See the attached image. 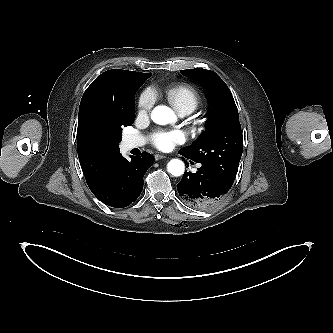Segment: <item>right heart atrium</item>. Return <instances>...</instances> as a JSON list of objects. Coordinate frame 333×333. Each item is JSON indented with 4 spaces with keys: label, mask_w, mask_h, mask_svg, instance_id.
<instances>
[{
    "label": "right heart atrium",
    "mask_w": 333,
    "mask_h": 333,
    "mask_svg": "<svg viewBox=\"0 0 333 333\" xmlns=\"http://www.w3.org/2000/svg\"><path fill=\"white\" fill-rule=\"evenodd\" d=\"M155 102V96L152 91H144L138 101V110L140 114H147Z\"/></svg>",
    "instance_id": "1"
}]
</instances>
